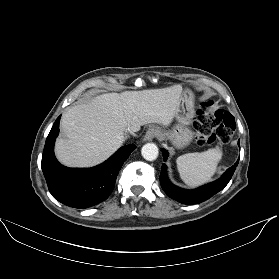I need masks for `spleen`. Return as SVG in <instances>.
Wrapping results in <instances>:
<instances>
[{
    "mask_svg": "<svg viewBox=\"0 0 279 279\" xmlns=\"http://www.w3.org/2000/svg\"><path fill=\"white\" fill-rule=\"evenodd\" d=\"M222 158L219 147L204 152L187 153L177 158L181 179L189 186H198L211 180Z\"/></svg>",
    "mask_w": 279,
    "mask_h": 279,
    "instance_id": "spleen-1",
    "label": "spleen"
}]
</instances>
